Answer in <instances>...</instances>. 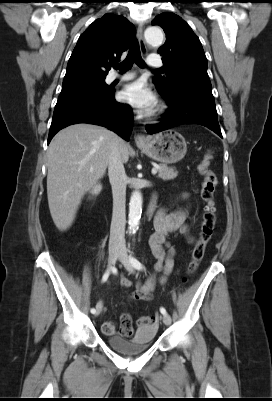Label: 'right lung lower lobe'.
<instances>
[{
  "mask_svg": "<svg viewBox=\"0 0 272 401\" xmlns=\"http://www.w3.org/2000/svg\"><path fill=\"white\" fill-rule=\"evenodd\" d=\"M115 90L104 97L76 99L56 105L48 136V144L62 128L77 123L104 126L129 141L133 128L131 108L115 100Z\"/></svg>",
  "mask_w": 272,
  "mask_h": 401,
  "instance_id": "obj_1",
  "label": "right lung lower lobe"
}]
</instances>
